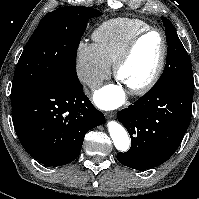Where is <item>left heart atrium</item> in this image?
I'll return each instance as SVG.
<instances>
[{
  "label": "left heart atrium",
  "instance_id": "39dd6f15",
  "mask_svg": "<svg viewBox=\"0 0 199 199\" xmlns=\"http://www.w3.org/2000/svg\"><path fill=\"white\" fill-rule=\"evenodd\" d=\"M125 100V92L120 84H109L94 94L96 105L105 110L119 107Z\"/></svg>",
  "mask_w": 199,
  "mask_h": 199
}]
</instances>
